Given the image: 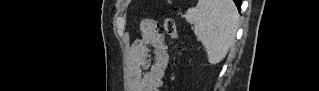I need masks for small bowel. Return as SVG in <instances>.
Masks as SVG:
<instances>
[{
  "instance_id": "obj_1",
  "label": "small bowel",
  "mask_w": 319,
  "mask_h": 91,
  "mask_svg": "<svg viewBox=\"0 0 319 91\" xmlns=\"http://www.w3.org/2000/svg\"><path fill=\"white\" fill-rule=\"evenodd\" d=\"M140 30V38L131 46L134 63L131 88L134 91H158L169 64L168 44L156 22L143 20Z\"/></svg>"
}]
</instances>
